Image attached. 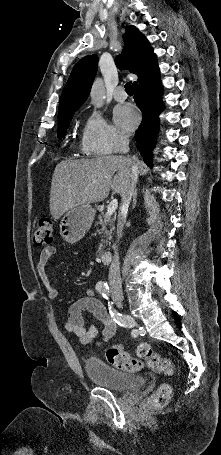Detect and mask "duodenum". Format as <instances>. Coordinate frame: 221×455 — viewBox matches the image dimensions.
Masks as SVG:
<instances>
[{
	"label": "duodenum",
	"instance_id": "410a0bca",
	"mask_svg": "<svg viewBox=\"0 0 221 455\" xmlns=\"http://www.w3.org/2000/svg\"><path fill=\"white\" fill-rule=\"evenodd\" d=\"M101 259L106 264L110 263L112 261V252L110 250H104L101 253Z\"/></svg>",
	"mask_w": 221,
	"mask_h": 455
}]
</instances>
